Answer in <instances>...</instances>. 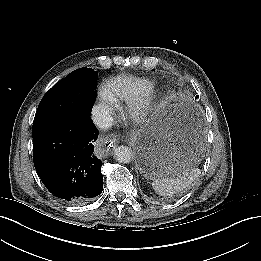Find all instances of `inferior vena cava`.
Wrapping results in <instances>:
<instances>
[{
    "label": "inferior vena cava",
    "instance_id": "obj_1",
    "mask_svg": "<svg viewBox=\"0 0 261 261\" xmlns=\"http://www.w3.org/2000/svg\"><path fill=\"white\" fill-rule=\"evenodd\" d=\"M92 119L99 128L108 129L113 125L111 113L106 108L95 107L92 112Z\"/></svg>",
    "mask_w": 261,
    "mask_h": 261
}]
</instances>
